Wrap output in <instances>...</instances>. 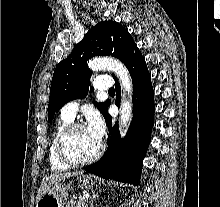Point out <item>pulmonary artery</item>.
Wrapping results in <instances>:
<instances>
[{
	"label": "pulmonary artery",
	"mask_w": 220,
	"mask_h": 207,
	"mask_svg": "<svg viewBox=\"0 0 220 207\" xmlns=\"http://www.w3.org/2000/svg\"><path fill=\"white\" fill-rule=\"evenodd\" d=\"M93 86L98 91L109 90L110 88L113 87V80L110 76H106V75L99 76L94 80ZM79 106H80L79 100L70 101L62 107L61 115L68 119L73 120L76 116V112Z\"/></svg>",
	"instance_id": "e3ab8cb5"
}]
</instances>
